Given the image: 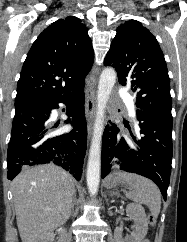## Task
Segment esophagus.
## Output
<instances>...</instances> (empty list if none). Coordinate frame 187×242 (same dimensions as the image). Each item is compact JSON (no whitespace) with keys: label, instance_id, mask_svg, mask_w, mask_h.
<instances>
[{"label":"esophagus","instance_id":"obj_1","mask_svg":"<svg viewBox=\"0 0 187 242\" xmlns=\"http://www.w3.org/2000/svg\"><path fill=\"white\" fill-rule=\"evenodd\" d=\"M96 95H95V81L94 71L92 72V81L88 84L86 89V120L89 137L92 134L93 119L95 115Z\"/></svg>","mask_w":187,"mask_h":242}]
</instances>
